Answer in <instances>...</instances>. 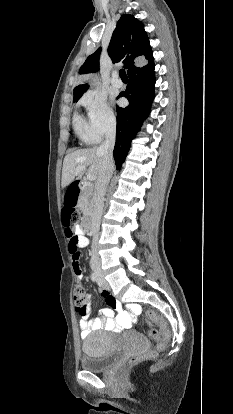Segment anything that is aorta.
I'll return each instance as SVG.
<instances>
[{"instance_id": "aorta-1", "label": "aorta", "mask_w": 233, "mask_h": 414, "mask_svg": "<svg viewBox=\"0 0 233 414\" xmlns=\"http://www.w3.org/2000/svg\"><path fill=\"white\" fill-rule=\"evenodd\" d=\"M99 84V81H97L94 85H98Z\"/></svg>"}]
</instances>
